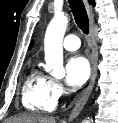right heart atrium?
Here are the masks:
<instances>
[{
  "label": "right heart atrium",
  "instance_id": "d8ad5b80",
  "mask_svg": "<svg viewBox=\"0 0 118 123\" xmlns=\"http://www.w3.org/2000/svg\"><path fill=\"white\" fill-rule=\"evenodd\" d=\"M51 91L56 99H59L63 94V87L57 80L51 79L50 81Z\"/></svg>",
  "mask_w": 118,
  "mask_h": 123
}]
</instances>
